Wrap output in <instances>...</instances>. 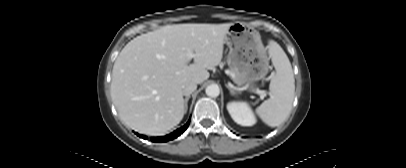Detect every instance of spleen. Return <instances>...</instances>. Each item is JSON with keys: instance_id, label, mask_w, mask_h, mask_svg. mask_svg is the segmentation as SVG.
I'll list each match as a JSON object with an SVG mask.
<instances>
[{"instance_id": "obj_1", "label": "spleen", "mask_w": 406, "mask_h": 168, "mask_svg": "<svg viewBox=\"0 0 406 168\" xmlns=\"http://www.w3.org/2000/svg\"><path fill=\"white\" fill-rule=\"evenodd\" d=\"M267 48L276 74L269 85L270 98L256 109V113L268 126L276 127L289 117L294 100L295 79L291 63L280 45L270 41Z\"/></svg>"}]
</instances>
